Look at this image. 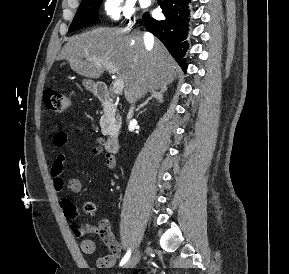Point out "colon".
Segmentation results:
<instances>
[{
  "mask_svg": "<svg viewBox=\"0 0 289 274\" xmlns=\"http://www.w3.org/2000/svg\"><path fill=\"white\" fill-rule=\"evenodd\" d=\"M43 99L46 107L55 112H62L70 106L69 97L66 94L57 90L53 89L45 90ZM65 207L70 215L74 214V209L69 201L65 202ZM85 210L87 212H92L94 210V206L92 204H86ZM99 231L106 237L109 236L110 228L107 221L104 220L101 222Z\"/></svg>",
  "mask_w": 289,
  "mask_h": 274,
  "instance_id": "5ec220e1",
  "label": "colon"
}]
</instances>
